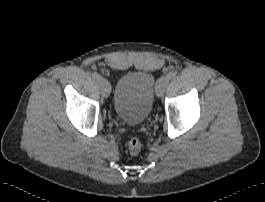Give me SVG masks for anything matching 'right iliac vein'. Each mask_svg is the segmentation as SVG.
<instances>
[{
  "label": "right iliac vein",
  "instance_id": "right-iliac-vein-1",
  "mask_svg": "<svg viewBox=\"0 0 265 202\" xmlns=\"http://www.w3.org/2000/svg\"><path fill=\"white\" fill-rule=\"evenodd\" d=\"M97 82H98V85L101 89L102 94L104 96H108L110 94V91H111V86H110L109 82L104 78H100Z\"/></svg>",
  "mask_w": 265,
  "mask_h": 202
}]
</instances>
